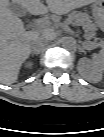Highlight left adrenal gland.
Returning <instances> with one entry per match:
<instances>
[{"label":"left adrenal gland","instance_id":"left-adrenal-gland-1","mask_svg":"<svg viewBox=\"0 0 104 137\" xmlns=\"http://www.w3.org/2000/svg\"><path fill=\"white\" fill-rule=\"evenodd\" d=\"M79 51L85 53V50L82 47H79Z\"/></svg>","mask_w":104,"mask_h":137}]
</instances>
